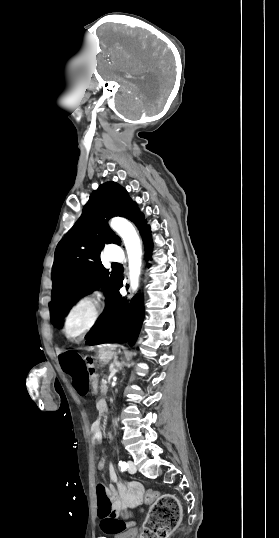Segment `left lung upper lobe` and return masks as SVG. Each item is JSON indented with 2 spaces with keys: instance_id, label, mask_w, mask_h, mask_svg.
<instances>
[{
  "instance_id": "1",
  "label": "left lung upper lobe",
  "mask_w": 279,
  "mask_h": 538,
  "mask_svg": "<svg viewBox=\"0 0 279 538\" xmlns=\"http://www.w3.org/2000/svg\"><path fill=\"white\" fill-rule=\"evenodd\" d=\"M114 216L131 220L140 233L148 226L126 190L115 182H107L90 195L82 215L58 243L52 273L53 301L49 304L52 323L58 328L71 306L99 287L105 293L107 307L87 336L102 328L115 310L113 295L119 274L108 272L100 260L105 244L119 242L108 226V220Z\"/></svg>"
}]
</instances>
